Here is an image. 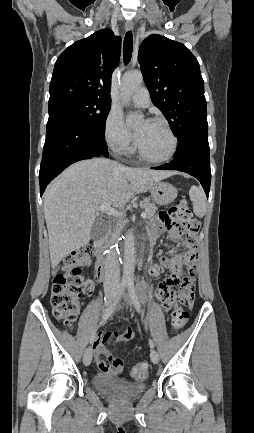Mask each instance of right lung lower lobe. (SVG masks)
Listing matches in <instances>:
<instances>
[{
  "label": "right lung lower lobe",
  "instance_id": "98d812e1",
  "mask_svg": "<svg viewBox=\"0 0 254 433\" xmlns=\"http://www.w3.org/2000/svg\"><path fill=\"white\" fill-rule=\"evenodd\" d=\"M100 155L108 157L105 131L63 113H50L39 172L40 195L69 165Z\"/></svg>",
  "mask_w": 254,
  "mask_h": 433
}]
</instances>
